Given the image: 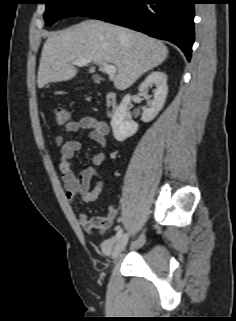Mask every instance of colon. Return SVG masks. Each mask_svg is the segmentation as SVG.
Returning <instances> with one entry per match:
<instances>
[{"label": "colon", "instance_id": "1", "mask_svg": "<svg viewBox=\"0 0 236 321\" xmlns=\"http://www.w3.org/2000/svg\"><path fill=\"white\" fill-rule=\"evenodd\" d=\"M55 113V121L58 126H64L70 121V113L69 111L62 106H58L54 110Z\"/></svg>", "mask_w": 236, "mask_h": 321}]
</instances>
